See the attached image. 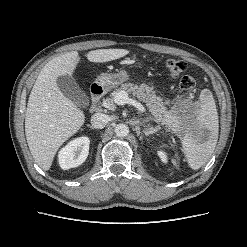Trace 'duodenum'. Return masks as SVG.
<instances>
[{
  "label": "duodenum",
  "mask_w": 247,
  "mask_h": 247,
  "mask_svg": "<svg viewBox=\"0 0 247 247\" xmlns=\"http://www.w3.org/2000/svg\"><path fill=\"white\" fill-rule=\"evenodd\" d=\"M105 89L100 84H93L91 86V107L90 110L93 112L97 108V104L104 95Z\"/></svg>",
  "instance_id": "410a0bca"
}]
</instances>
